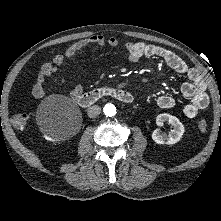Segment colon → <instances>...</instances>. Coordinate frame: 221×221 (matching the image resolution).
<instances>
[{"label":"colon","instance_id":"colon-1","mask_svg":"<svg viewBox=\"0 0 221 221\" xmlns=\"http://www.w3.org/2000/svg\"><path fill=\"white\" fill-rule=\"evenodd\" d=\"M13 125L18 129H23L27 124L26 114H16L12 119ZM198 131L202 134L206 133L209 129L208 123L205 120H201L197 125Z\"/></svg>","mask_w":221,"mask_h":221}]
</instances>
